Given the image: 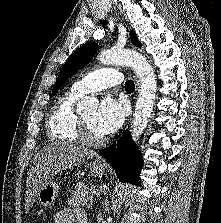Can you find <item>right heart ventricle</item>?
Listing matches in <instances>:
<instances>
[{"mask_svg": "<svg viewBox=\"0 0 221 223\" xmlns=\"http://www.w3.org/2000/svg\"><path fill=\"white\" fill-rule=\"evenodd\" d=\"M81 95L69 90L62 94L52 107L47 124L48 138L53 142L76 143L79 115L74 105Z\"/></svg>", "mask_w": 221, "mask_h": 223, "instance_id": "obj_1", "label": "right heart ventricle"}]
</instances>
